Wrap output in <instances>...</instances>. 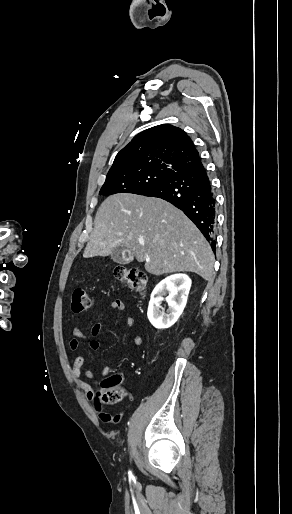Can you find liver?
<instances>
[{
  "mask_svg": "<svg viewBox=\"0 0 292 514\" xmlns=\"http://www.w3.org/2000/svg\"><path fill=\"white\" fill-rule=\"evenodd\" d=\"M117 246L128 248L137 262H146L145 270L155 276H213L214 254L203 234L181 210L160 198L114 194L102 202L83 258L109 256Z\"/></svg>",
  "mask_w": 292,
  "mask_h": 514,
  "instance_id": "1",
  "label": "liver"
}]
</instances>
